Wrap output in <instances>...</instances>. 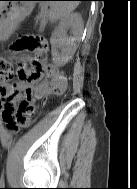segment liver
I'll return each instance as SVG.
<instances>
[{
    "mask_svg": "<svg viewBox=\"0 0 137 189\" xmlns=\"http://www.w3.org/2000/svg\"><path fill=\"white\" fill-rule=\"evenodd\" d=\"M5 6V4L0 2V9H2Z\"/></svg>",
    "mask_w": 137,
    "mask_h": 189,
    "instance_id": "liver-1",
    "label": "liver"
}]
</instances>
